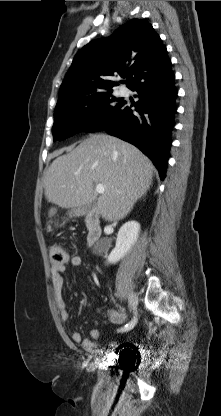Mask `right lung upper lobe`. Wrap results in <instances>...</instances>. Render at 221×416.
Masks as SVG:
<instances>
[{"label":"right lung upper lobe","mask_w":221,"mask_h":416,"mask_svg":"<svg viewBox=\"0 0 221 416\" xmlns=\"http://www.w3.org/2000/svg\"><path fill=\"white\" fill-rule=\"evenodd\" d=\"M171 70L166 47L146 20L132 19L108 38L93 40L74 57L60 87L58 104L111 91L126 77L128 88Z\"/></svg>","instance_id":"1"}]
</instances>
